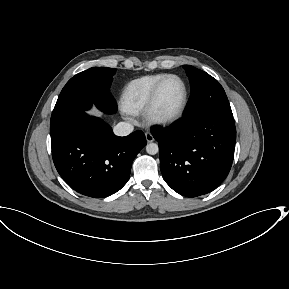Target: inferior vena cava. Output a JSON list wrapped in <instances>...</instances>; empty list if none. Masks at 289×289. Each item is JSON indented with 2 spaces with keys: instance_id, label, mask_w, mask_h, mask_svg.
Listing matches in <instances>:
<instances>
[{
  "instance_id": "obj_1",
  "label": "inferior vena cava",
  "mask_w": 289,
  "mask_h": 289,
  "mask_svg": "<svg viewBox=\"0 0 289 289\" xmlns=\"http://www.w3.org/2000/svg\"><path fill=\"white\" fill-rule=\"evenodd\" d=\"M133 125L128 122H119L113 129L117 136H127L133 132Z\"/></svg>"
}]
</instances>
